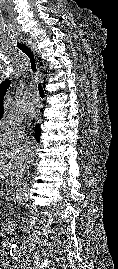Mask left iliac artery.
<instances>
[{
	"label": "left iliac artery",
	"instance_id": "44dca946",
	"mask_svg": "<svg viewBox=\"0 0 118 269\" xmlns=\"http://www.w3.org/2000/svg\"><path fill=\"white\" fill-rule=\"evenodd\" d=\"M19 256H20V255L16 254V256H15V257H16V260L19 258Z\"/></svg>",
	"mask_w": 118,
	"mask_h": 269
}]
</instances>
